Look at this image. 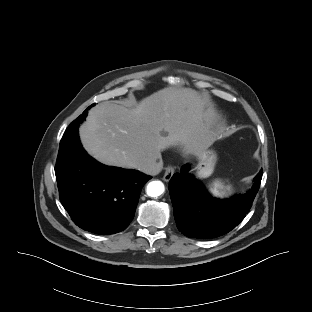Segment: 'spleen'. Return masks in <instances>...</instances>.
Instances as JSON below:
<instances>
[{
  "label": "spleen",
  "instance_id": "3e777b00",
  "mask_svg": "<svg viewBox=\"0 0 312 312\" xmlns=\"http://www.w3.org/2000/svg\"><path fill=\"white\" fill-rule=\"evenodd\" d=\"M231 186H224L220 181H215L212 186L209 188V191L214 196L223 197L224 195H227L231 192Z\"/></svg>",
  "mask_w": 312,
  "mask_h": 312
}]
</instances>
